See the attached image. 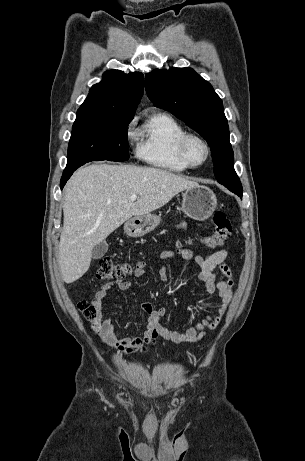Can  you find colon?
<instances>
[{
  "label": "colon",
  "instance_id": "colon-1",
  "mask_svg": "<svg viewBox=\"0 0 305 461\" xmlns=\"http://www.w3.org/2000/svg\"><path fill=\"white\" fill-rule=\"evenodd\" d=\"M214 231L203 237L202 240L208 248L222 246L230 237L232 224L228 215L217 211L213 215ZM133 267L127 263H116L110 257L100 259L97 268V277L106 281H117L128 276ZM83 316L95 325L98 317V310L93 303L82 302L78 305Z\"/></svg>",
  "mask_w": 305,
  "mask_h": 461
}]
</instances>
